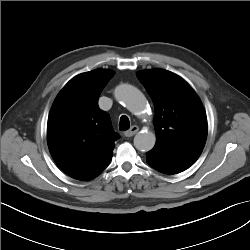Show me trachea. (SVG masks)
Returning a JSON list of instances; mask_svg holds the SVG:
<instances>
[{"instance_id":"1","label":"trachea","mask_w":250,"mask_h":250,"mask_svg":"<svg viewBox=\"0 0 250 250\" xmlns=\"http://www.w3.org/2000/svg\"><path fill=\"white\" fill-rule=\"evenodd\" d=\"M120 130L121 131H126L130 128V121H129V118L125 115H122L120 117Z\"/></svg>"}]
</instances>
